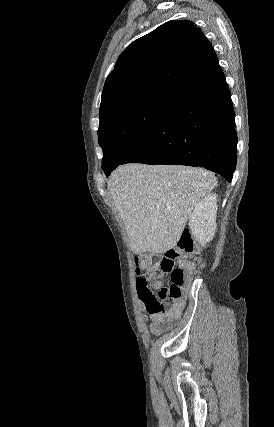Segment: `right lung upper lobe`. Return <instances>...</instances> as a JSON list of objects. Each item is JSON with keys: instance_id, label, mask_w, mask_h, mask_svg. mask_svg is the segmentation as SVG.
Segmentation results:
<instances>
[{"instance_id": "1", "label": "right lung upper lobe", "mask_w": 274, "mask_h": 427, "mask_svg": "<svg viewBox=\"0 0 274 427\" xmlns=\"http://www.w3.org/2000/svg\"><path fill=\"white\" fill-rule=\"evenodd\" d=\"M215 51L188 20L168 21L130 44L108 75L100 114L137 97H179L220 73Z\"/></svg>"}]
</instances>
